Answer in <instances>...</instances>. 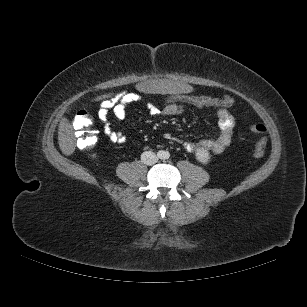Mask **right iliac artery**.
<instances>
[{
	"instance_id": "1",
	"label": "right iliac artery",
	"mask_w": 307,
	"mask_h": 307,
	"mask_svg": "<svg viewBox=\"0 0 307 307\" xmlns=\"http://www.w3.org/2000/svg\"><path fill=\"white\" fill-rule=\"evenodd\" d=\"M158 157H162V153L159 152V153H158Z\"/></svg>"
}]
</instances>
